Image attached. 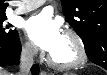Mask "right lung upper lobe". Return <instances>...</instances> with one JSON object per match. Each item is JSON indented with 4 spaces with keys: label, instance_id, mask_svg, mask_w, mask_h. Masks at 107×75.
Listing matches in <instances>:
<instances>
[{
    "label": "right lung upper lobe",
    "instance_id": "obj_1",
    "mask_svg": "<svg viewBox=\"0 0 107 75\" xmlns=\"http://www.w3.org/2000/svg\"><path fill=\"white\" fill-rule=\"evenodd\" d=\"M6 6H8V4L5 3V0H0V15H6L5 14Z\"/></svg>",
    "mask_w": 107,
    "mask_h": 75
}]
</instances>
